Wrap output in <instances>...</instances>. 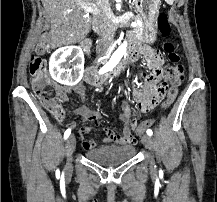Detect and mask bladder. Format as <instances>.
I'll use <instances>...</instances> for the list:
<instances>
[{"label": "bladder", "instance_id": "bladder-1", "mask_svg": "<svg viewBox=\"0 0 217 202\" xmlns=\"http://www.w3.org/2000/svg\"><path fill=\"white\" fill-rule=\"evenodd\" d=\"M135 153V148L125 144L120 147L104 146L87 151L86 156L104 166H113L126 162Z\"/></svg>", "mask_w": 217, "mask_h": 202}]
</instances>
